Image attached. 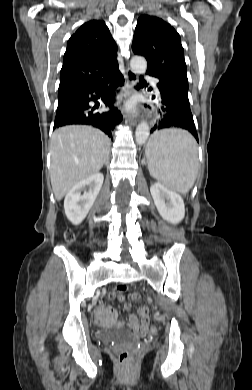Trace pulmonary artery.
<instances>
[{
    "label": "pulmonary artery",
    "instance_id": "obj_1",
    "mask_svg": "<svg viewBox=\"0 0 252 390\" xmlns=\"http://www.w3.org/2000/svg\"><path fill=\"white\" fill-rule=\"evenodd\" d=\"M153 84L156 86V80L153 81ZM156 92L159 93V90L156 88Z\"/></svg>",
    "mask_w": 252,
    "mask_h": 390
}]
</instances>
